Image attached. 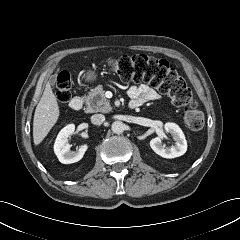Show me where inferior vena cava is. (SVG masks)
I'll use <instances>...</instances> for the list:
<instances>
[{
  "instance_id": "602c4592",
  "label": "inferior vena cava",
  "mask_w": 240,
  "mask_h": 240,
  "mask_svg": "<svg viewBox=\"0 0 240 240\" xmlns=\"http://www.w3.org/2000/svg\"><path fill=\"white\" fill-rule=\"evenodd\" d=\"M105 121V116L102 114H94L91 116V122L94 125H101Z\"/></svg>"
}]
</instances>
